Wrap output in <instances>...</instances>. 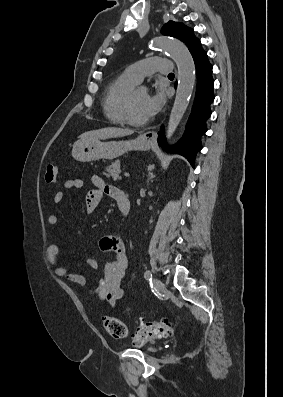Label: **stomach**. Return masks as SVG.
Returning a JSON list of instances; mask_svg holds the SVG:
<instances>
[{"mask_svg":"<svg viewBox=\"0 0 283 397\" xmlns=\"http://www.w3.org/2000/svg\"><path fill=\"white\" fill-rule=\"evenodd\" d=\"M152 143L144 135L129 141L101 142L99 139L77 141L72 156L79 162H90L99 159L112 160L131 150H148Z\"/></svg>","mask_w":283,"mask_h":397,"instance_id":"1","label":"stomach"}]
</instances>
